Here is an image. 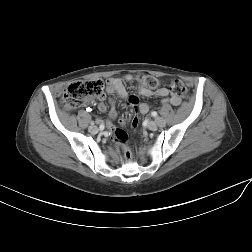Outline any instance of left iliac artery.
<instances>
[{
	"mask_svg": "<svg viewBox=\"0 0 252 252\" xmlns=\"http://www.w3.org/2000/svg\"><path fill=\"white\" fill-rule=\"evenodd\" d=\"M152 116L156 117L157 113L156 112H152Z\"/></svg>",
	"mask_w": 252,
	"mask_h": 252,
	"instance_id": "obj_1",
	"label": "left iliac artery"
}]
</instances>
